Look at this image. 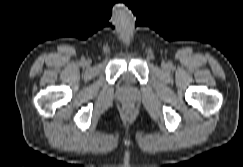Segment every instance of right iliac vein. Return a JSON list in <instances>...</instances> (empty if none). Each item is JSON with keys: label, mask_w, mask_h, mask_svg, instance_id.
Returning <instances> with one entry per match:
<instances>
[{"label": "right iliac vein", "mask_w": 243, "mask_h": 167, "mask_svg": "<svg viewBox=\"0 0 243 167\" xmlns=\"http://www.w3.org/2000/svg\"><path fill=\"white\" fill-rule=\"evenodd\" d=\"M84 65L89 66V62L85 61Z\"/></svg>", "instance_id": "63e3f726"}]
</instances>
